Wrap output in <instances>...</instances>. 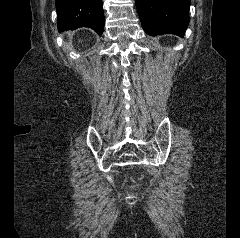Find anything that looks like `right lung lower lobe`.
Segmentation results:
<instances>
[{
  "mask_svg": "<svg viewBox=\"0 0 240 238\" xmlns=\"http://www.w3.org/2000/svg\"><path fill=\"white\" fill-rule=\"evenodd\" d=\"M58 30L89 27L99 35L104 30L102 0H56Z\"/></svg>",
  "mask_w": 240,
  "mask_h": 238,
  "instance_id": "obj_1",
  "label": "right lung lower lobe"
}]
</instances>
